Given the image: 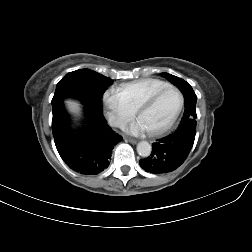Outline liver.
Returning <instances> with one entry per match:
<instances>
[{
	"instance_id": "liver-1",
	"label": "liver",
	"mask_w": 252,
	"mask_h": 252,
	"mask_svg": "<svg viewBox=\"0 0 252 252\" xmlns=\"http://www.w3.org/2000/svg\"><path fill=\"white\" fill-rule=\"evenodd\" d=\"M67 105H68L70 111H72L74 113H78L80 110L79 104L75 101H67Z\"/></svg>"
}]
</instances>
